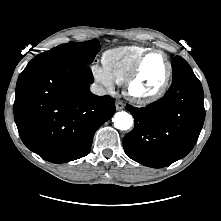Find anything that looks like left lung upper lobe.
Wrapping results in <instances>:
<instances>
[{
  "instance_id": "obj_1",
  "label": "left lung upper lobe",
  "mask_w": 221,
  "mask_h": 221,
  "mask_svg": "<svg viewBox=\"0 0 221 221\" xmlns=\"http://www.w3.org/2000/svg\"><path fill=\"white\" fill-rule=\"evenodd\" d=\"M171 64L173 69V82L184 76L194 74L190 65L180 56H176Z\"/></svg>"
}]
</instances>
